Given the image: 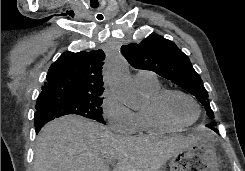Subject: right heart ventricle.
Segmentation results:
<instances>
[{
    "label": "right heart ventricle",
    "mask_w": 245,
    "mask_h": 171,
    "mask_svg": "<svg viewBox=\"0 0 245 171\" xmlns=\"http://www.w3.org/2000/svg\"><path fill=\"white\" fill-rule=\"evenodd\" d=\"M138 88L145 98L146 104L135 112L138 123L137 132L141 134L158 135L178 130V128L164 123L156 114L155 101L164 90L159 81L139 85Z\"/></svg>",
    "instance_id": "right-heart-ventricle-1"
}]
</instances>
